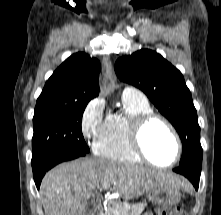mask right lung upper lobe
Segmentation results:
<instances>
[{"label":"right lung upper lobe","instance_id":"1","mask_svg":"<svg viewBox=\"0 0 221 215\" xmlns=\"http://www.w3.org/2000/svg\"><path fill=\"white\" fill-rule=\"evenodd\" d=\"M101 70L96 58L79 52L66 59L47 80L37 104L88 103L99 94Z\"/></svg>","mask_w":221,"mask_h":215}]
</instances>
